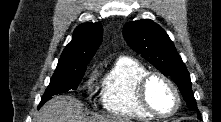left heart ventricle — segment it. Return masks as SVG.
<instances>
[{"label": "left heart ventricle", "mask_w": 221, "mask_h": 122, "mask_svg": "<svg viewBox=\"0 0 221 122\" xmlns=\"http://www.w3.org/2000/svg\"><path fill=\"white\" fill-rule=\"evenodd\" d=\"M148 100L151 106L159 113H170L175 107L173 91L160 78H153L147 88Z\"/></svg>", "instance_id": "obj_1"}]
</instances>
